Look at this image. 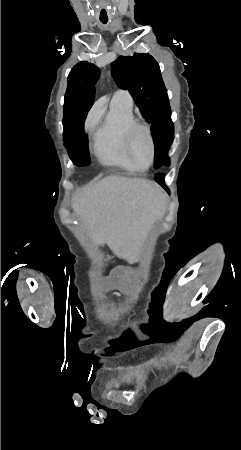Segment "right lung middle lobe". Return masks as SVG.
Listing matches in <instances>:
<instances>
[{"mask_svg": "<svg viewBox=\"0 0 241 450\" xmlns=\"http://www.w3.org/2000/svg\"><path fill=\"white\" fill-rule=\"evenodd\" d=\"M99 75L78 74L68 78L64 101V139L67 140L73 123L83 113L88 112L94 102L96 81ZM76 166H86L90 163L88 149L69 155Z\"/></svg>", "mask_w": 241, "mask_h": 450, "instance_id": "dd1d6c3e", "label": "right lung middle lobe"}]
</instances>
